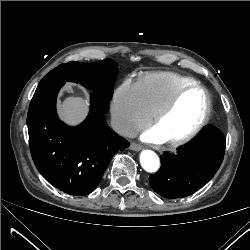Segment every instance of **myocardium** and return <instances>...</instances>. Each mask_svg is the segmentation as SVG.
<instances>
[{"instance_id": "myocardium-1", "label": "myocardium", "mask_w": 250, "mask_h": 250, "mask_svg": "<svg viewBox=\"0 0 250 250\" xmlns=\"http://www.w3.org/2000/svg\"><path fill=\"white\" fill-rule=\"evenodd\" d=\"M192 89H198L202 91L204 95V100H205L204 113L202 117L200 118V120L198 121V123L190 131H188L187 133L181 136L175 137L170 140H166V144L169 146L177 147V146H180L189 142L190 140H192L194 137H196L199 134V132L204 128V126L207 124L209 120V117L211 114V108H212L210 94L203 85L197 82H193V83H188L179 87L173 93L170 99L152 117L151 126L152 127L157 126L173 110V108L177 104L180 97L185 92L192 90Z\"/></svg>"}]
</instances>
